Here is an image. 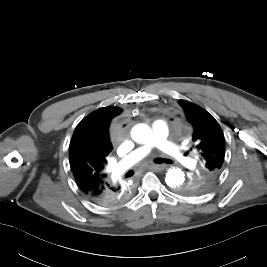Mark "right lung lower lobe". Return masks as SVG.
<instances>
[{
    "label": "right lung lower lobe",
    "mask_w": 267,
    "mask_h": 267,
    "mask_svg": "<svg viewBox=\"0 0 267 267\" xmlns=\"http://www.w3.org/2000/svg\"><path fill=\"white\" fill-rule=\"evenodd\" d=\"M85 195L98 205L113 207L125 203L130 198L131 193L128 189H124L120 185H111L108 183L99 190Z\"/></svg>",
    "instance_id": "obj_1"
}]
</instances>
